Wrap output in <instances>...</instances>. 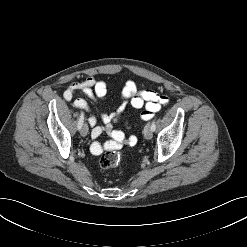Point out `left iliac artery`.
I'll use <instances>...</instances> for the list:
<instances>
[{
  "mask_svg": "<svg viewBox=\"0 0 247 247\" xmlns=\"http://www.w3.org/2000/svg\"><path fill=\"white\" fill-rule=\"evenodd\" d=\"M151 129H152V131H155V129H156L155 121L152 122Z\"/></svg>",
  "mask_w": 247,
  "mask_h": 247,
  "instance_id": "1",
  "label": "left iliac artery"
}]
</instances>
